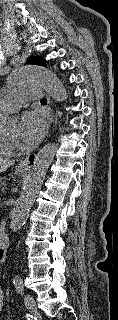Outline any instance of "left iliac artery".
Returning a JSON list of instances; mask_svg holds the SVG:
<instances>
[{
    "instance_id": "1",
    "label": "left iliac artery",
    "mask_w": 118,
    "mask_h": 320,
    "mask_svg": "<svg viewBox=\"0 0 118 320\" xmlns=\"http://www.w3.org/2000/svg\"><path fill=\"white\" fill-rule=\"evenodd\" d=\"M16 290L18 291V293L23 294V290H24V284L22 279H15L13 281Z\"/></svg>"
}]
</instances>
